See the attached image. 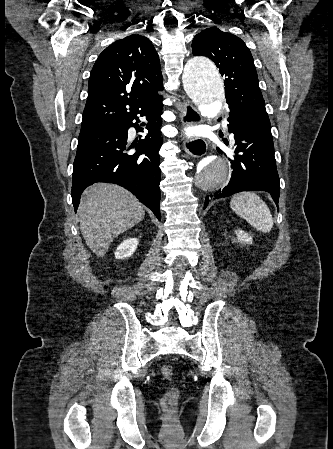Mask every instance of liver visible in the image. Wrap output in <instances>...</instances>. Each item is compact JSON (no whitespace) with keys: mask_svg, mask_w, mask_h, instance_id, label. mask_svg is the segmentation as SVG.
Wrapping results in <instances>:
<instances>
[{"mask_svg":"<svg viewBox=\"0 0 333 449\" xmlns=\"http://www.w3.org/2000/svg\"><path fill=\"white\" fill-rule=\"evenodd\" d=\"M78 216L87 246L102 257L113 239L141 222L145 212L128 190L116 184L102 183L83 192Z\"/></svg>","mask_w":333,"mask_h":449,"instance_id":"1","label":"liver"}]
</instances>
